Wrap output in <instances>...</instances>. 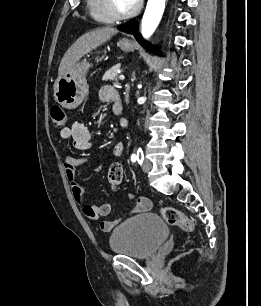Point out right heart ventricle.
<instances>
[{
    "mask_svg": "<svg viewBox=\"0 0 261 306\" xmlns=\"http://www.w3.org/2000/svg\"><path fill=\"white\" fill-rule=\"evenodd\" d=\"M89 15L99 23H111L113 18L108 14L104 0H86Z\"/></svg>",
    "mask_w": 261,
    "mask_h": 306,
    "instance_id": "right-heart-ventricle-1",
    "label": "right heart ventricle"
}]
</instances>
